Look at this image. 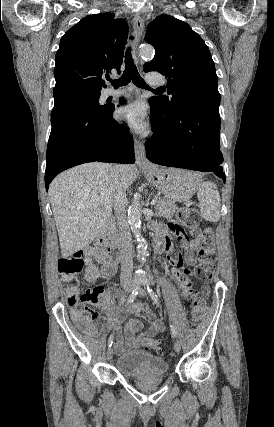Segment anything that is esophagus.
I'll return each instance as SVG.
<instances>
[{
    "label": "esophagus",
    "instance_id": "1",
    "mask_svg": "<svg viewBox=\"0 0 274 427\" xmlns=\"http://www.w3.org/2000/svg\"><path fill=\"white\" fill-rule=\"evenodd\" d=\"M133 31L135 34V47H134V54H137V47L141 40L143 31H144V20L140 15H135L133 18ZM134 147H135V159L137 165L139 167H146L150 165V162L147 160L144 150V142L139 140L138 138L134 139Z\"/></svg>",
    "mask_w": 274,
    "mask_h": 427
}]
</instances>
